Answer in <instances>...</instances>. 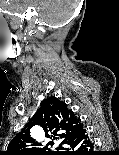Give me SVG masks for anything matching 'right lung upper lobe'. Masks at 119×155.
<instances>
[{"label": "right lung upper lobe", "mask_w": 119, "mask_h": 155, "mask_svg": "<svg viewBox=\"0 0 119 155\" xmlns=\"http://www.w3.org/2000/svg\"><path fill=\"white\" fill-rule=\"evenodd\" d=\"M39 125L48 138L62 139V144L83 128L80 119L74 112L67 108L65 102L58 100L55 96L45 99L40 109L34 114L26 126L9 143L4 155H57L58 151L48 150V145H53V141L46 144V147L39 148L30 135V128Z\"/></svg>", "instance_id": "cb5924a9"}]
</instances>
